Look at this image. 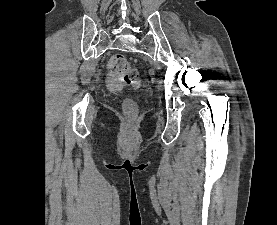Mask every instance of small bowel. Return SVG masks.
<instances>
[{
  "instance_id": "obj_1",
  "label": "small bowel",
  "mask_w": 277,
  "mask_h": 225,
  "mask_svg": "<svg viewBox=\"0 0 277 225\" xmlns=\"http://www.w3.org/2000/svg\"><path fill=\"white\" fill-rule=\"evenodd\" d=\"M109 82H110L111 85H114V84L117 83V80L115 78H113V77H110L109 78Z\"/></svg>"
}]
</instances>
